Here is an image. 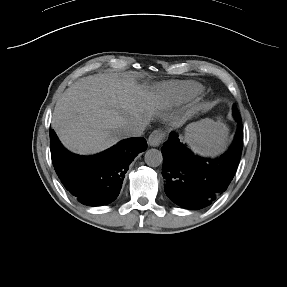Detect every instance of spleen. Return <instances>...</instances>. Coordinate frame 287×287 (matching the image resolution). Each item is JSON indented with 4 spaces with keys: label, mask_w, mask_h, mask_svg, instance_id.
I'll use <instances>...</instances> for the list:
<instances>
[{
    "label": "spleen",
    "mask_w": 287,
    "mask_h": 287,
    "mask_svg": "<svg viewBox=\"0 0 287 287\" xmlns=\"http://www.w3.org/2000/svg\"><path fill=\"white\" fill-rule=\"evenodd\" d=\"M229 128L219 118L204 119L186 128L185 141L191 150L202 156L215 157L228 145Z\"/></svg>",
    "instance_id": "3e777b00"
}]
</instances>
